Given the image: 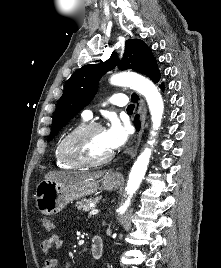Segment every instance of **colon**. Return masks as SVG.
I'll return each instance as SVG.
<instances>
[{
  "instance_id": "colon-1",
  "label": "colon",
  "mask_w": 221,
  "mask_h": 268,
  "mask_svg": "<svg viewBox=\"0 0 221 268\" xmlns=\"http://www.w3.org/2000/svg\"><path fill=\"white\" fill-rule=\"evenodd\" d=\"M41 226L47 232H51L54 230V224L52 220L46 217L41 218Z\"/></svg>"
}]
</instances>
